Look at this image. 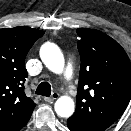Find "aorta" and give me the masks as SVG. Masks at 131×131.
<instances>
[{
  "instance_id": "1",
  "label": "aorta",
  "mask_w": 131,
  "mask_h": 131,
  "mask_svg": "<svg viewBox=\"0 0 131 131\" xmlns=\"http://www.w3.org/2000/svg\"><path fill=\"white\" fill-rule=\"evenodd\" d=\"M40 57L45 66L54 73H61L64 68V57L59 47L53 43H45L40 50ZM55 111L60 117H70L74 113V101L62 96L55 102Z\"/></svg>"
}]
</instances>
